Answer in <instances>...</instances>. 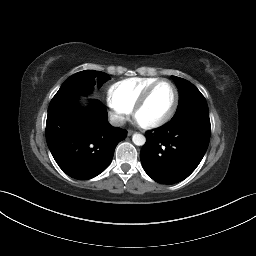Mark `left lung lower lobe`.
<instances>
[{
	"mask_svg": "<svg viewBox=\"0 0 256 256\" xmlns=\"http://www.w3.org/2000/svg\"><path fill=\"white\" fill-rule=\"evenodd\" d=\"M210 134L209 116L186 113L171 119L154 133L146 134L140 153L145 172L162 184L184 180L202 160Z\"/></svg>",
	"mask_w": 256,
	"mask_h": 256,
	"instance_id": "obj_1",
	"label": "left lung lower lobe"
}]
</instances>
